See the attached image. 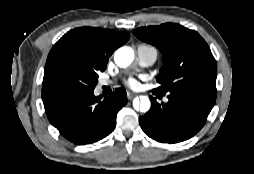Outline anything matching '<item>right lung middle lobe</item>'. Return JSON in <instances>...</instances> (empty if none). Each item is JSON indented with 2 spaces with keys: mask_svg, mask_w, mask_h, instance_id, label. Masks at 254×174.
<instances>
[{
  "mask_svg": "<svg viewBox=\"0 0 254 174\" xmlns=\"http://www.w3.org/2000/svg\"><path fill=\"white\" fill-rule=\"evenodd\" d=\"M97 71L69 57H61L45 68L42 99L67 93L93 91L98 83Z\"/></svg>",
  "mask_w": 254,
  "mask_h": 174,
  "instance_id": "dd1d6c3e",
  "label": "right lung middle lobe"
}]
</instances>
